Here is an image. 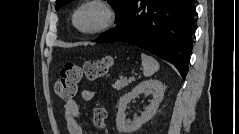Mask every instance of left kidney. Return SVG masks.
<instances>
[{"instance_id": "5707ae66", "label": "left kidney", "mask_w": 239, "mask_h": 134, "mask_svg": "<svg viewBox=\"0 0 239 134\" xmlns=\"http://www.w3.org/2000/svg\"><path fill=\"white\" fill-rule=\"evenodd\" d=\"M166 87L158 80H146L138 84L131 92L122 96L119 100L118 112L116 117V127L121 134H130L146 122H148L155 114L163 99ZM152 94L151 103L145 108L140 117L133 120L126 119L125 110L132 99L139 94Z\"/></svg>"}]
</instances>
